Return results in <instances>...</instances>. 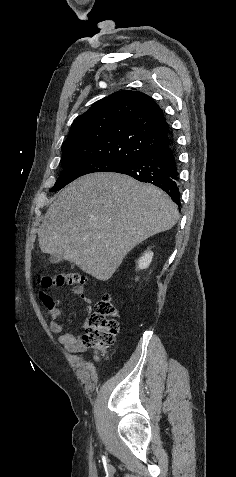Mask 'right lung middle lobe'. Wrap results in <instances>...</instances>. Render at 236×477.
<instances>
[{
	"label": "right lung middle lobe",
	"mask_w": 236,
	"mask_h": 477,
	"mask_svg": "<svg viewBox=\"0 0 236 477\" xmlns=\"http://www.w3.org/2000/svg\"><path fill=\"white\" fill-rule=\"evenodd\" d=\"M127 163L129 162L109 157H83L62 161L63 171L50 191L60 190L76 178L85 174L114 172Z\"/></svg>",
	"instance_id": "1"
}]
</instances>
